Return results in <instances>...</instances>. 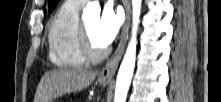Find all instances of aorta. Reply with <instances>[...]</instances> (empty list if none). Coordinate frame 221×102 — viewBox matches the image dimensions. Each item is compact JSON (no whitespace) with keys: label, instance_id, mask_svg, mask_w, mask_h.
<instances>
[{"label":"aorta","instance_id":"obj_1","mask_svg":"<svg viewBox=\"0 0 221 102\" xmlns=\"http://www.w3.org/2000/svg\"><path fill=\"white\" fill-rule=\"evenodd\" d=\"M142 0H132L133 26L132 37L128 44L126 53L120 65L116 86L114 102H125L131 79L133 76L135 62H136V45H137V28L139 23ZM100 13V6L98 2H89L83 10V18H89L95 14Z\"/></svg>","mask_w":221,"mask_h":102}]
</instances>
